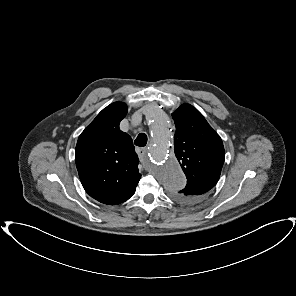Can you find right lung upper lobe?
Masks as SVG:
<instances>
[{
	"instance_id": "cb5924a9",
	"label": "right lung upper lobe",
	"mask_w": 296,
	"mask_h": 296,
	"mask_svg": "<svg viewBox=\"0 0 296 296\" xmlns=\"http://www.w3.org/2000/svg\"><path fill=\"white\" fill-rule=\"evenodd\" d=\"M127 106L104 108L78 138L76 167L85 191L97 201L114 205L129 199L141 178L131 137L119 128Z\"/></svg>"
}]
</instances>
